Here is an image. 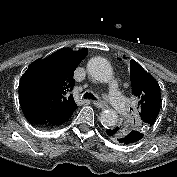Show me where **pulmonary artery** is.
I'll return each mask as SVG.
<instances>
[{"label": "pulmonary artery", "mask_w": 177, "mask_h": 177, "mask_svg": "<svg viewBox=\"0 0 177 177\" xmlns=\"http://www.w3.org/2000/svg\"><path fill=\"white\" fill-rule=\"evenodd\" d=\"M108 99L114 109L120 113L124 112L126 109V104L121 96L118 83L113 80L108 85Z\"/></svg>", "instance_id": "pulmonary-artery-1"}]
</instances>
